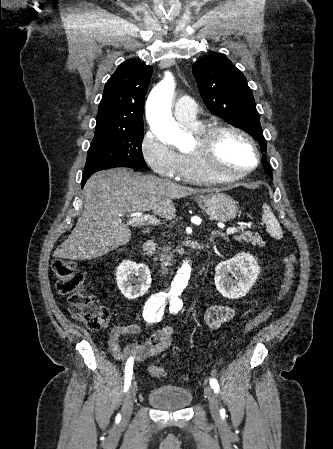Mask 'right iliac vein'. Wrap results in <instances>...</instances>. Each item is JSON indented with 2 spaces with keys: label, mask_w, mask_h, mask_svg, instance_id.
<instances>
[{
  "label": "right iliac vein",
  "mask_w": 333,
  "mask_h": 449,
  "mask_svg": "<svg viewBox=\"0 0 333 449\" xmlns=\"http://www.w3.org/2000/svg\"><path fill=\"white\" fill-rule=\"evenodd\" d=\"M136 393H137V383L135 380H133V382L131 383L129 390L126 394L125 400H124L123 409H122V424H126L130 419V416H131L132 410H133Z\"/></svg>",
  "instance_id": "63e3f726"
}]
</instances>
